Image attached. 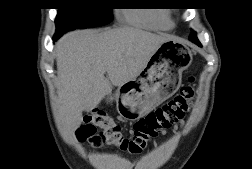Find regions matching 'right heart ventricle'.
I'll use <instances>...</instances> for the list:
<instances>
[{
	"label": "right heart ventricle",
	"instance_id": "obj_1",
	"mask_svg": "<svg viewBox=\"0 0 252 169\" xmlns=\"http://www.w3.org/2000/svg\"><path fill=\"white\" fill-rule=\"evenodd\" d=\"M124 17L133 25L150 29H168L171 27L169 17L161 12L143 10H126Z\"/></svg>",
	"mask_w": 252,
	"mask_h": 169
}]
</instances>
